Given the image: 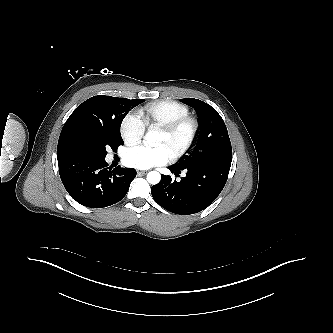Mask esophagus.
Listing matches in <instances>:
<instances>
[{"instance_id":"34e87169","label":"esophagus","mask_w":333,"mask_h":333,"mask_svg":"<svg viewBox=\"0 0 333 333\" xmlns=\"http://www.w3.org/2000/svg\"><path fill=\"white\" fill-rule=\"evenodd\" d=\"M145 174H146L145 171H141V170H138V171H137V175H138V176H142V175H145Z\"/></svg>"}]
</instances>
